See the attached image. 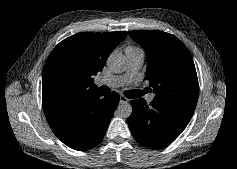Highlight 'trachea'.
Instances as JSON below:
<instances>
[{
  "label": "trachea",
  "mask_w": 237,
  "mask_h": 169,
  "mask_svg": "<svg viewBox=\"0 0 237 169\" xmlns=\"http://www.w3.org/2000/svg\"><path fill=\"white\" fill-rule=\"evenodd\" d=\"M143 93H144L143 91H136L133 93V96H134V98H136V97L141 96Z\"/></svg>",
  "instance_id": "obj_1"
}]
</instances>
